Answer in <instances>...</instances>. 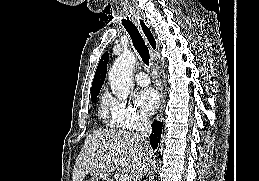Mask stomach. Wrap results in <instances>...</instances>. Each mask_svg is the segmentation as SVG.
Here are the masks:
<instances>
[{
	"label": "stomach",
	"instance_id": "obj_1",
	"mask_svg": "<svg viewBox=\"0 0 259 181\" xmlns=\"http://www.w3.org/2000/svg\"><path fill=\"white\" fill-rule=\"evenodd\" d=\"M90 181H110L108 175L100 172H92Z\"/></svg>",
	"mask_w": 259,
	"mask_h": 181
}]
</instances>
